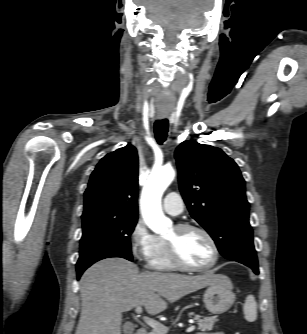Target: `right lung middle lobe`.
Masks as SVG:
<instances>
[{"label":"right lung middle lobe","instance_id":"dd1d6c3e","mask_svg":"<svg viewBox=\"0 0 307 334\" xmlns=\"http://www.w3.org/2000/svg\"><path fill=\"white\" fill-rule=\"evenodd\" d=\"M83 235L77 272H83L93 263L109 257L132 261L130 235L137 219L90 216L82 218Z\"/></svg>","mask_w":307,"mask_h":334}]
</instances>
